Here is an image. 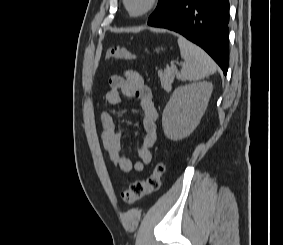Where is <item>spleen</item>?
Segmentation results:
<instances>
[{
    "mask_svg": "<svg viewBox=\"0 0 283 245\" xmlns=\"http://www.w3.org/2000/svg\"><path fill=\"white\" fill-rule=\"evenodd\" d=\"M178 45L184 59L179 76L181 80L198 81L216 72L215 62L203 49L182 36L178 37Z\"/></svg>",
    "mask_w": 283,
    "mask_h": 245,
    "instance_id": "3e777b00",
    "label": "spleen"
}]
</instances>
